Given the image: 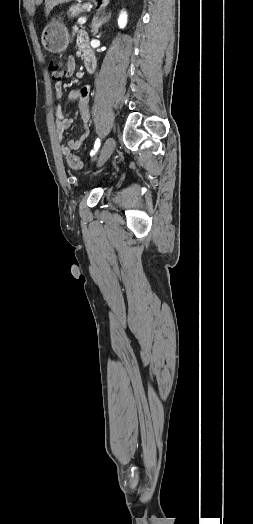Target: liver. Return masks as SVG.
<instances>
[{
    "label": "liver",
    "mask_w": 253,
    "mask_h": 524,
    "mask_svg": "<svg viewBox=\"0 0 253 524\" xmlns=\"http://www.w3.org/2000/svg\"><path fill=\"white\" fill-rule=\"evenodd\" d=\"M71 0H45L46 13L49 14L50 11L59 4L69 2Z\"/></svg>",
    "instance_id": "liver-1"
}]
</instances>
